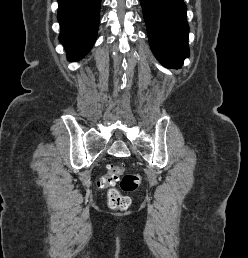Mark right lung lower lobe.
<instances>
[{
	"label": "right lung lower lobe",
	"instance_id": "right-lung-lower-lobe-1",
	"mask_svg": "<svg viewBox=\"0 0 248 258\" xmlns=\"http://www.w3.org/2000/svg\"><path fill=\"white\" fill-rule=\"evenodd\" d=\"M60 41L68 60L82 58L96 40L101 0H58Z\"/></svg>",
	"mask_w": 248,
	"mask_h": 258
}]
</instances>
